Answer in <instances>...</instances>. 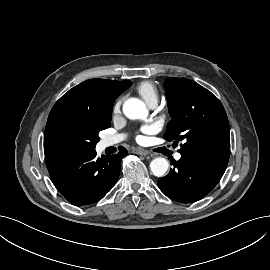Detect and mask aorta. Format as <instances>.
Masks as SVG:
<instances>
[{
  "instance_id": "762f6f07",
  "label": "aorta",
  "mask_w": 270,
  "mask_h": 270,
  "mask_svg": "<svg viewBox=\"0 0 270 270\" xmlns=\"http://www.w3.org/2000/svg\"><path fill=\"white\" fill-rule=\"evenodd\" d=\"M123 113L129 119H145L148 110L144 102L137 98H130L123 104ZM169 167L168 161L163 157H156L150 163V170L154 176L162 177Z\"/></svg>"
}]
</instances>
